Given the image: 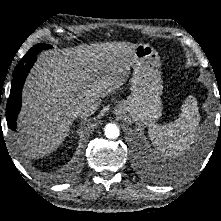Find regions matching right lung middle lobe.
I'll use <instances>...</instances> for the list:
<instances>
[{
	"instance_id": "right-lung-middle-lobe-1",
	"label": "right lung middle lobe",
	"mask_w": 221,
	"mask_h": 221,
	"mask_svg": "<svg viewBox=\"0 0 221 221\" xmlns=\"http://www.w3.org/2000/svg\"><path fill=\"white\" fill-rule=\"evenodd\" d=\"M49 48H51L50 45L37 44L34 47H32L25 56H29L31 54H38L41 50H46V49H49Z\"/></svg>"
}]
</instances>
